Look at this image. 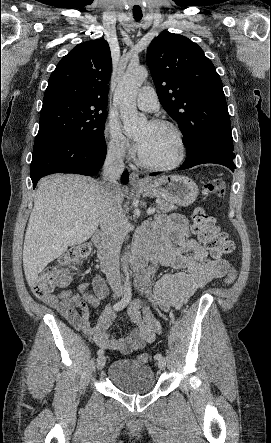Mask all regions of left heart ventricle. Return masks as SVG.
Returning <instances> with one entry per match:
<instances>
[{"label": "left heart ventricle", "mask_w": 271, "mask_h": 443, "mask_svg": "<svg viewBox=\"0 0 271 443\" xmlns=\"http://www.w3.org/2000/svg\"><path fill=\"white\" fill-rule=\"evenodd\" d=\"M143 141L140 153L151 163L168 164L176 160L180 152L176 133L169 127L145 124L135 137Z\"/></svg>", "instance_id": "b2bd125f"}]
</instances>
